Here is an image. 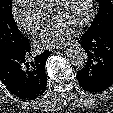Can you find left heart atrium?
<instances>
[{
  "mask_svg": "<svg viewBox=\"0 0 113 113\" xmlns=\"http://www.w3.org/2000/svg\"><path fill=\"white\" fill-rule=\"evenodd\" d=\"M73 33V28L59 21L51 22L41 33L37 44L42 48L59 45Z\"/></svg>",
  "mask_w": 113,
  "mask_h": 113,
  "instance_id": "left-heart-atrium-1",
  "label": "left heart atrium"
}]
</instances>
